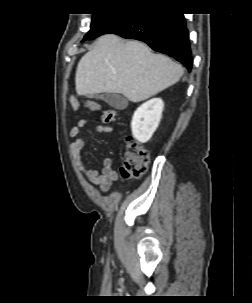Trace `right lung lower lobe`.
Returning a JSON list of instances; mask_svg holds the SVG:
<instances>
[{"label": "right lung lower lobe", "mask_w": 252, "mask_h": 303, "mask_svg": "<svg viewBox=\"0 0 252 303\" xmlns=\"http://www.w3.org/2000/svg\"><path fill=\"white\" fill-rule=\"evenodd\" d=\"M108 33L143 41L153 50L174 57L189 71L192 69L189 34L183 14L157 9L129 10L103 32Z\"/></svg>", "instance_id": "obj_1"}]
</instances>
